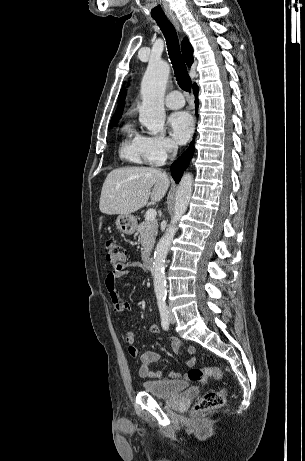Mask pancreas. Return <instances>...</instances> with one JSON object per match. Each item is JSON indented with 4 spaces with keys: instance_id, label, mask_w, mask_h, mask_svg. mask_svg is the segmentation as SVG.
Instances as JSON below:
<instances>
[{
    "instance_id": "obj_1",
    "label": "pancreas",
    "mask_w": 305,
    "mask_h": 461,
    "mask_svg": "<svg viewBox=\"0 0 305 461\" xmlns=\"http://www.w3.org/2000/svg\"><path fill=\"white\" fill-rule=\"evenodd\" d=\"M158 233V223L156 220L145 219L137 226L136 235H140V243L142 245V258L150 255L153 249L156 235Z\"/></svg>"
}]
</instances>
